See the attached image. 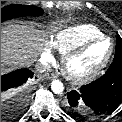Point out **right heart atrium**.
Wrapping results in <instances>:
<instances>
[{"label":"right heart atrium","instance_id":"1","mask_svg":"<svg viewBox=\"0 0 122 122\" xmlns=\"http://www.w3.org/2000/svg\"><path fill=\"white\" fill-rule=\"evenodd\" d=\"M41 57L45 63H50L53 61L54 57H53V51H52V44H47Z\"/></svg>","mask_w":122,"mask_h":122}]
</instances>
